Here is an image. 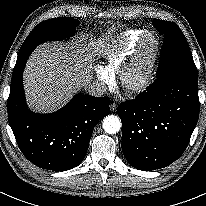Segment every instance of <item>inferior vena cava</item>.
Listing matches in <instances>:
<instances>
[{"mask_svg": "<svg viewBox=\"0 0 206 206\" xmlns=\"http://www.w3.org/2000/svg\"><path fill=\"white\" fill-rule=\"evenodd\" d=\"M88 93L92 96H103L107 92L106 84L98 81H93L88 85Z\"/></svg>", "mask_w": 206, "mask_h": 206, "instance_id": "inferior-vena-cava-1", "label": "inferior vena cava"}]
</instances>
